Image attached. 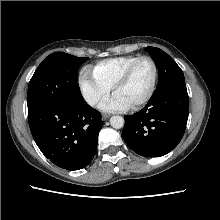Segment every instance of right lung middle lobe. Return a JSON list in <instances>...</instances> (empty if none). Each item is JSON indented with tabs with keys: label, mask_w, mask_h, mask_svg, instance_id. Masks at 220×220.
<instances>
[{
	"label": "right lung middle lobe",
	"mask_w": 220,
	"mask_h": 220,
	"mask_svg": "<svg viewBox=\"0 0 220 220\" xmlns=\"http://www.w3.org/2000/svg\"><path fill=\"white\" fill-rule=\"evenodd\" d=\"M88 57L53 53L45 58L28 86V111L49 104L76 107L85 103L79 89L77 69Z\"/></svg>",
	"instance_id": "right-lung-middle-lobe-1"
}]
</instances>
